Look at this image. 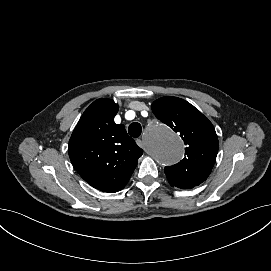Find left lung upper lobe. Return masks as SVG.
I'll list each match as a JSON object with an SVG mask.
<instances>
[{
	"instance_id": "5c2ea615",
	"label": "left lung upper lobe",
	"mask_w": 271,
	"mask_h": 271,
	"mask_svg": "<svg viewBox=\"0 0 271 271\" xmlns=\"http://www.w3.org/2000/svg\"><path fill=\"white\" fill-rule=\"evenodd\" d=\"M154 115L178 132L186 145L185 157L165 167L171 186L190 189L204 182L214 166L218 137L212 123L187 101L167 96L152 104Z\"/></svg>"
}]
</instances>
